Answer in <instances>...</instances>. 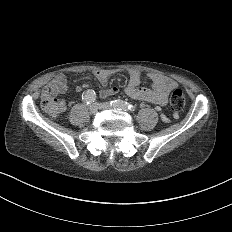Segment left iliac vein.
Returning a JSON list of instances; mask_svg holds the SVG:
<instances>
[{"label":"left iliac vein","mask_w":232,"mask_h":232,"mask_svg":"<svg viewBox=\"0 0 232 232\" xmlns=\"http://www.w3.org/2000/svg\"><path fill=\"white\" fill-rule=\"evenodd\" d=\"M93 108L98 109V110H101L102 108L108 109L110 108V103L109 102H106V103L97 102L93 104Z\"/></svg>","instance_id":"obj_1"}]
</instances>
